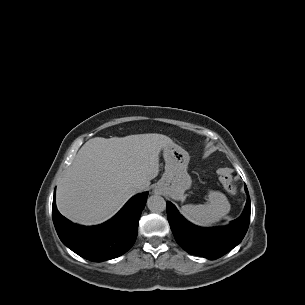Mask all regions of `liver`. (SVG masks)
<instances>
[{
	"label": "liver",
	"instance_id": "liver-1",
	"mask_svg": "<svg viewBox=\"0 0 305 305\" xmlns=\"http://www.w3.org/2000/svg\"><path fill=\"white\" fill-rule=\"evenodd\" d=\"M173 144L156 133L88 140L58 183L59 212L86 226L109 220L133 195L149 187L159 173L161 150Z\"/></svg>",
	"mask_w": 305,
	"mask_h": 305
}]
</instances>
